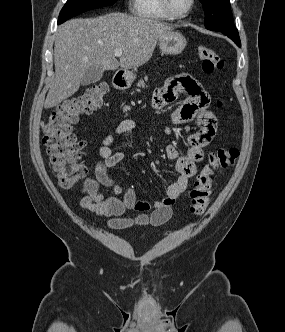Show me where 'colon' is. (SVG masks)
I'll list each match as a JSON object with an SVG mask.
<instances>
[{"mask_svg": "<svg viewBox=\"0 0 285 332\" xmlns=\"http://www.w3.org/2000/svg\"><path fill=\"white\" fill-rule=\"evenodd\" d=\"M198 53L205 73H213L223 67V61L212 48L200 46ZM107 91L108 85L105 82L93 84L80 96L59 105L43 124V144L61 187H72L86 176L87 169L80 157L83 142L75 136L73 125L81 115L100 107ZM238 157L237 148H221L209 155L208 162L202 167L189 191L192 213L201 215L205 212L210 201L214 173L232 168Z\"/></svg>", "mask_w": 285, "mask_h": 332, "instance_id": "5ec220e1", "label": "colon"}]
</instances>
